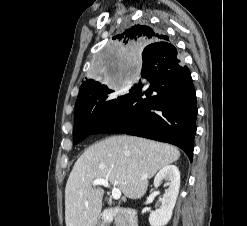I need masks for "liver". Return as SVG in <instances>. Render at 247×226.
<instances>
[{"instance_id":"1","label":"liver","mask_w":247,"mask_h":226,"mask_svg":"<svg viewBox=\"0 0 247 226\" xmlns=\"http://www.w3.org/2000/svg\"><path fill=\"white\" fill-rule=\"evenodd\" d=\"M179 157L172 145L134 136H111L94 143L78 158L67 180L66 226H96L104 190L92 187L95 179L109 181L130 199H140L148 179Z\"/></svg>"}]
</instances>
